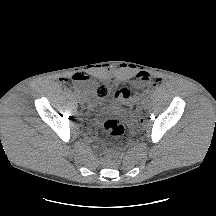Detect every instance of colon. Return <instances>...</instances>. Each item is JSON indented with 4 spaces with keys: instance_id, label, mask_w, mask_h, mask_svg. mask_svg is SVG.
<instances>
[{
    "instance_id": "5ec220e1",
    "label": "colon",
    "mask_w": 216,
    "mask_h": 216,
    "mask_svg": "<svg viewBox=\"0 0 216 216\" xmlns=\"http://www.w3.org/2000/svg\"><path fill=\"white\" fill-rule=\"evenodd\" d=\"M141 79L148 80L149 77L146 74L141 75ZM116 96H119L118 92L116 91ZM110 95V86L104 80H98L96 82V86L93 92L94 98L97 100H105ZM123 100L127 102L131 110H136L138 106V100L136 98H131L129 96H124ZM103 128L106 133L113 139H119L123 136L125 132V128L123 124L115 118H108L103 122Z\"/></svg>"
}]
</instances>
